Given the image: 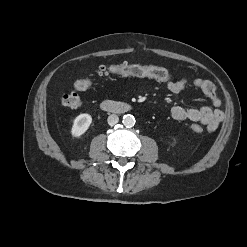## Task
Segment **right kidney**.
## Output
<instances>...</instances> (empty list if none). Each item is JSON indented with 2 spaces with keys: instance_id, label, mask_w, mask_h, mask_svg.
Listing matches in <instances>:
<instances>
[{
  "instance_id": "right-kidney-1",
  "label": "right kidney",
  "mask_w": 247,
  "mask_h": 247,
  "mask_svg": "<svg viewBox=\"0 0 247 247\" xmlns=\"http://www.w3.org/2000/svg\"><path fill=\"white\" fill-rule=\"evenodd\" d=\"M92 123V117L89 114H80L73 122L71 134L73 137H81L90 127Z\"/></svg>"
}]
</instances>
